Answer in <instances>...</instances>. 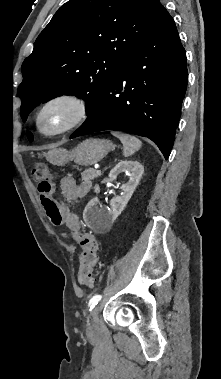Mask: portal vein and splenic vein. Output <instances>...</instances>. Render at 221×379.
Returning <instances> with one entry per match:
<instances>
[{"instance_id":"obj_1","label":"portal vein and splenic vein","mask_w":221,"mask_h":379,"mask_svg":"<svg viewBox=\"0 0 221 379\" xmlns=\"http://www.w3.org/2000/svg\"><path fill=\"white\" fill-rule=\"evenodd\" d=\"M95 169L97 170V172L101 173V171L99 170V166H95Z\"/></svg>"}]
</instances>
